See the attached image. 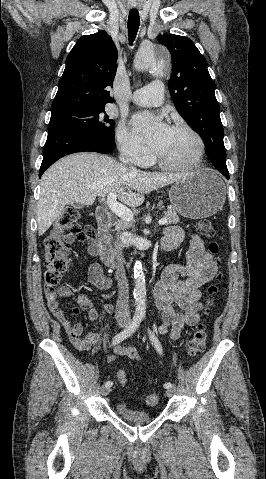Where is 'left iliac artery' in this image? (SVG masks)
<instances>
[{
  "instance_id": "left-iliac-artery-1",
  "label": "left iliac artery",
  "mask_w": 266,
  "mask_h": 479,
  "mask_svg": "<svg viewBox=\"0 0 266 479\" xmlns=\"http://www.w3.org/2000/svg\"><path fill=\"white\" fill-rule=\"evenodd\" d=\"M148 334H149V338L152 342V345L156 348V350L159 354H162V346H161L158 338L155 336V334L151 330H148ZM171 387H172V384L170 382H167V383L164 384V388H166V389L171 388Z\"/></svg>"
}]
</instances>
